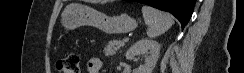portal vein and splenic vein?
<instances>
[{
    "mask_svg": "<svg viewBox=\"0 0 244 73\" xmlns=\"http://www.w3.org/2000/svg\"><path fill=\"white\" fill-rule=\"evenodd\" d=\"M128 41H129V38H124V39L122 40L123 43H126V42H128Z\"/></svg>",
    "mask_w": 244,
    "mask_h": 73,
    "instance_id": "1",
    "label": "portal vein and splenic vein"
}]
</instances>
